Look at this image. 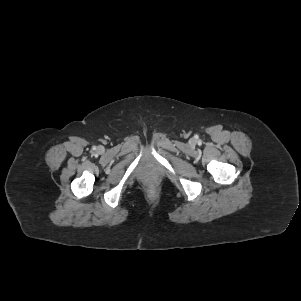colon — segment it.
Instances as JSON below:
<instances>
[{
  "instance_id": "colon-1",
  "label": "colon",
  "mask_w": 301,
  "mask_h": 301,
  "mask_svg": "<svg viewBox=\"0 0 301 301\" xmlns=\"http://www.w3.org/2000/svg\"><path fill=\"white\" fill-rule=\"evenodd\" d=\"M154 187H155V186H154L153 183H150V184H149V188H150V189H154Z\"/></svg>"
}]
</instances>
